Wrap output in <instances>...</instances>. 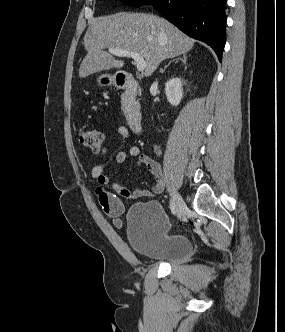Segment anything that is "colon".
Returning <instances> with one entry per match:
<instances>
[{
  "label": "colon",
  "instance_id": "colon-1",
  "mask_svg": "<svg viewBox=\"0 0 285 332\" xmlns=\"http://www.w3.org/2000/svg\"><path fill=\"white\" fill-rule=\"evenodd\" d=\"M78 138L83 146L92 151H99L104 140L103 134L95 129H80Z\"/></svg>",
  "mask_w": 285,
  "mask_h": 332
}]
</instances>
